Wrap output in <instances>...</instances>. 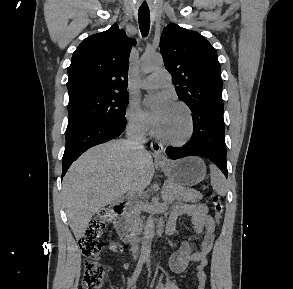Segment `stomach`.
Wrapping results in <instances>:
<instances>
[{
    "label": "stomach",
    "mask_w": 293,
    "mask_h": 289,
    "mask_svg": "<svg viewBox=\"0 0 293 289\" xmlns=\"http://www.w3.org/2000/svg\"><path fill=\"white\" fill-rule=\"evenodd\" d=\"M169 180L180 186H194L206 175V165L199 157H186L159 164Z\"/></svg>",
    "instance_id": "0dacf381"
}]
</instances>
